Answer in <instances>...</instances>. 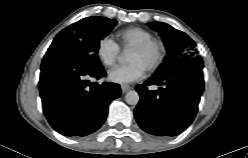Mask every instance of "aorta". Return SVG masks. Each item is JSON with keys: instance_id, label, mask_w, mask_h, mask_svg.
Listing matches in <instances>:
<instances>
[{"instance_id": "aorta-1", "label": "aorta", "mask_w": 248, "mask_h": 158, "mask_svg": "<svg viewBox=\"0 0 248 158\" xmlns=\"http://www.w3.org/2000/svg\"><path fill=\"white\" fill-rule=\"evenodd\" d=\"M125 101L129 105H137L139 102V94L136 91H129L125 95Z\"/></svg>"}]
</instances>
